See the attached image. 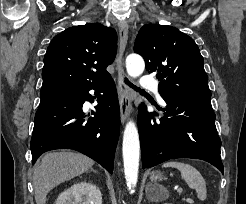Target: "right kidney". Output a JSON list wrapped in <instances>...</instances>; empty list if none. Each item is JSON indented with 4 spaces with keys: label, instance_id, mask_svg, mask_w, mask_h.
I'll list each match as a JSON object with an SVG mask.
<instances>
[{
    "label": "right kidney",
    "instance_id": "right-kidney-1",
    "mask_svg": "<svg viewBox=\"0 0 246 204\" xmlns=\"http://www.w3.org/2000/svg\"><path fill=\"white\" fill-rule=\"evenodd\" d=\"M56 204H102V194L92 183L80 182L62 192Z\"/></svg>",
    "mask_w": 246,
    "mask_h": 204
}]
</instances>
